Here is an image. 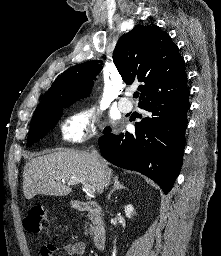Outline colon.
I'll return each instance as SVG.
<instances>
[{
  "mask_svg": "<svg viewBox=\"0 0 221 256\" xmlns=\"http://www.w3.org/2000/svg\"><path fill=\"white\" fill-rule=\"evenodd\" d=\"M51 220L47 210L42 205H34L30 208L24 220V227L28 232L41 233L50 229Z\"/></svg>",
  "mask_w": 221,
  "mask_h": 256,
  "instance_id": "obj_1",
  "label": "colon"
}]
</instances>
